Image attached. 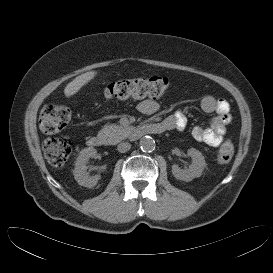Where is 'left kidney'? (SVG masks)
Returning a JSON list of instances; mask_svg holds the SVG:
<instances>
[{"label": "left kidney", "mask_w": 273, "mask_h": 273, "mask_svg": "<svg viewBox=\"0 0 273 273\" xmlns=\"http://www.w3.org/2000/svg\"><path fill=\"white\" fill-rule=\"evenodd\" d=\"M187 154L192 158V164L189 166V169L183 170L174 164L172 166V173L176 179L189 182L202 175L206 162L202 153L195 148L188 149Z\"/></svg>", "instance_id": "left-kidney-1"}]
</instances>
